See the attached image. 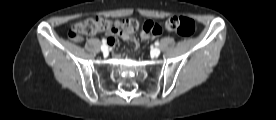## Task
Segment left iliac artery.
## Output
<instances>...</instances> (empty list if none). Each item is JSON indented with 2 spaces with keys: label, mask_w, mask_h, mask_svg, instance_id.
Masks as SVG:
<instances>
[{
  "label": "left iliac artery",
  "mask_w": 276,
  "mask_h": 120,
  "mask_svg": "<svg viewBox=\"0 0 276 120\" xmlns=\"http://www.w3.org/2000/svg\"><path fill=\"white\" fill-rule=\"evenodd\" d=\"M155 45H156V46H159V42H158V41H156V42H155Z\"/></svg>",
  "instance_id": "left-iliac-artery-1"
}]
</instances>
